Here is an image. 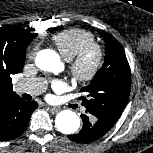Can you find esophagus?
Segmentation results:
<instances>
[{"mask_svg":"<svg viewBox=\"0 0 153 153\" xmlns=\"http://www.w3.org/2000/svg\"><path fill=\"white\" fill-rule=\"evenodd\" d=\"M47 110L51 113H57L60 111V108L59 107H51V106H47Z\"/></svg>","mask_w":153,"mask_h":153,"instance_id":"obj_1","label":"esophagus"}]
</instances>
